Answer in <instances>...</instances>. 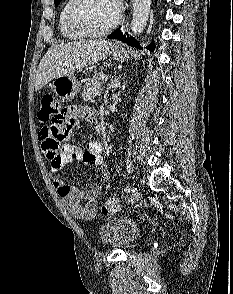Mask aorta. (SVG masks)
Listing matches in <instances>:
<instances>
[{
	"mask_svg": "<svg viewBox=\"0 0 233 294\" xmlns=\"http://www.w3.org/2000/svg\"><path fill=\"white\" fill-rule=\"evenodd\" d=\"M150 8L151 0H133L131 31L134 37L140 35L146 27Z\"/></svg>",
	"mask_w": 233,
	"mask_h": 294,
	"instance_id": "1",
	"label": "aorta"
}]
</instances>
